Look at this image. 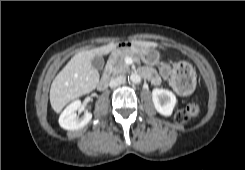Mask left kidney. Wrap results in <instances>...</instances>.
Returning a JSON list of instances; mask_svg holds the SVG:
<instances>
[{
  "label": "left kidney",
  "mask_w": 245,
  "mask_h": 170,
  "mask_svg": "<svg viewBox=\"0 0 245 170\" xmlns=\"http://www.w3.org/2000/svg\"><path fill=\"white\" fill-rule=\"evenodd\" d=\"M152 101L157 112L164 116H171L176 105V96L169 90L154 88Z\"/></svg>",
  "instance_id": "left-kidney-1"
}]
</instances>
